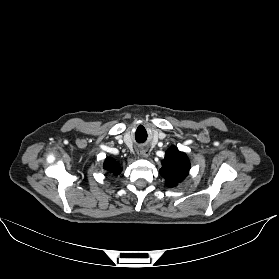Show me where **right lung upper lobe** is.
<instances>
[{
    "mask_svg": "<svg viewBox=\"0 0 279 279\" xmlns=\"http://www.w3.org/2000/svg\"><path fill=\"white\" fill-rule=\"evenodd\" d=\"M104 169L107 171L112 172L113 174L117 175L121 173V168L119 167L118 163L111 158H106L104 162Z\"/></svg>",
    "mask_w": 279,
    "mask_h": 279,
    "instance_id": "right-lung-upper-lobe-1",
    "label": "right lung upper lobe"
}]
</instances>
